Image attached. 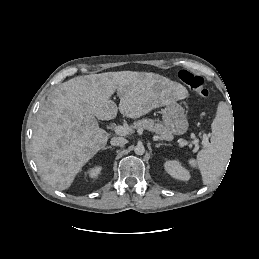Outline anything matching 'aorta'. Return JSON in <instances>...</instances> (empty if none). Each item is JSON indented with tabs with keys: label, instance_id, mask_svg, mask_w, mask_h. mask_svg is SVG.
Wrapping results in <instances>:
<instances>
[{
	"label": "aorta",
	"instance_id": "762f6f07",
	"mask_svg": "<svg viewBox=\"0 0 259 259\" xmlns=\"http://www.w3.org/2000/svg\"><path fill=\"white\" fill-rule=\"evenodd\" d=\"M134 152L136 155H143L145 153V148L143 145H137L134 148Z\"/></svg>",
	"mask_w": 259,
	"mask_h": 259
}]
</instances>
